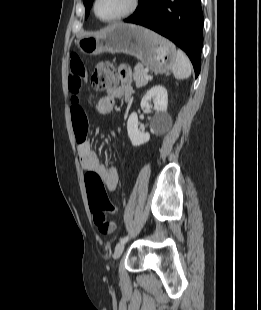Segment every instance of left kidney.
Masks as SVG:
<instances>
[{"label":"left kidney","instance_id":"5707ae66","mask_svg":"<svg viewBox=\"0 0 261 310\" xmlns=\"http://www.w3.org/2000/svg\"><path fill=\"white\" fill-rule=\"evenodd\" d=\"M154 104L155 114L151 121V133L158 134L167 130L171 123V117L167 113L168 93L162 85H156L149 89L141 100V108H150ZM138 115L133 112L127 122L128 137L133 146H140L150 140L149 133H143L138 128Z\"/></svg>","mask_w":261,"mask_h":310}]
</instances>
